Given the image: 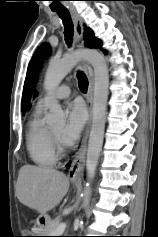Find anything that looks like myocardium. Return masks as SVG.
I'll list each match as a JSON object with an SVG mask.
<instances>
[{
	"label": "myocardium",
	"instance_id": "obj_1",
	"mask_svg": "<svg viewBox=\"0 0 158 237\" xmlns=\"http://www.w3.org/2000/svg\"><path fill=\"white\" fill-rule=\"evenodd\" d=\"M50 138H51V141L53 143L55 152L57 154L64 153L65 152L64 146L62 145L60 139L51 130H50Z\"/></svg>",
	"mask_w": 158,
	"mask_h": 237
}]
</instances>
